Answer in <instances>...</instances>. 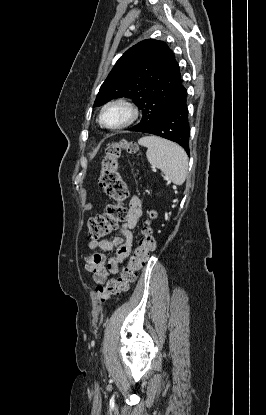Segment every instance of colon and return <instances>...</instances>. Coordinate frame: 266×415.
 <instances>
[{
    "label": "colon",
    "mask_w": 266,
    "mask_h": 415,
    "mask_svg": "<svg viewBox=\"0 0 266 415\" xmlns=\"http://www.w3.org/2000/svg\"><path fill=\"white\" fill-rule=\"evenodd\" d=\"M123 150L129 154H136L138 147L134 142L123 140L108 144L103 153L99 185L113 200V203L107 206L103 214L89 219L88 234L95 240L110 234L117 224L127 217L123 202L128 196V190L118 170ZM155 244L148 220L141 231L138 246L131 255L128 264L121 270L117 278L109 280L104 286L96 289L97 297L101 301H107L110 297L127 291L130 284L137 279L138 272L147 262L150 253L155 249Z\"/></svg>",
    "instance_id": "colon-1"
}]
</instances>
